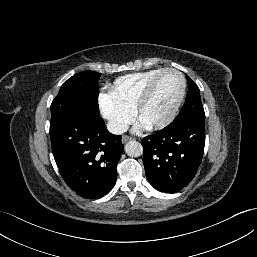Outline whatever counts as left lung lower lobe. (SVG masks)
<instances>
[{
    "instance_id": "1",
    "label": "left lung lower lobe",
    "mask_w": 257,
    "mask_h": 257,
    "mask_svg": "<svg viewBox=\"0 0 257 257\" xmlns=\"http://www.w3.org/2000/svg\"><path fill=\"white\" fill-rule=\"evenodd\" d=\"M143 164L151 185L159 191L176 193L194 178L204 152L205 118L173 121L142 140Z\"/></svg>"
}]
</instances>
